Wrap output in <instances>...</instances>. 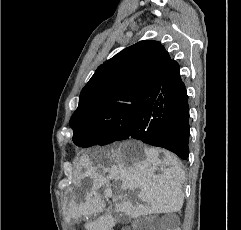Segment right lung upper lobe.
I'll return each instance as SVG.
<instances>
[{"mask_svg": "<svg viewBox=\"0 0 241 230\" xmlns=\"http://www.w3.org/2000/svg\"><path fill=\"white\" fill-rule=\"evenodd\" d=\"M173 62L157 41H140L122 50L100 65L82 89L70 126L105 120L117 108H135L153 102Z\"/></svg>", "mask_w": 241, "mask_h": 230, "instance_id": "cb5924a9", "label": "right lung upper lobe"}]
</instances>
